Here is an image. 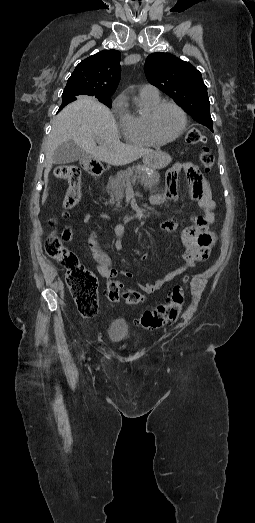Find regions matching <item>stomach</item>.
I'll return each instance as SVG.
<instances>
[{"instance_id": "1", "label": "stomach", "mask_w": 255, "mask_h": 523, "mask_svg": "<svg viewBox=\"0 0 255 523\" xmlns=\"http://www.w3.org/2000/svg\"><path fill=\"white\" fill-rule=\"evenodd\" d=\"M171 158L172 155L169 151H159L157 154H152V156H146L144 166L151 168V170H161V168L167 166Z\"/></svg>"}]
</instances>
